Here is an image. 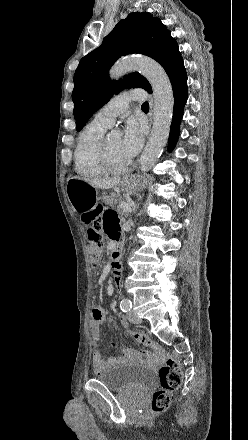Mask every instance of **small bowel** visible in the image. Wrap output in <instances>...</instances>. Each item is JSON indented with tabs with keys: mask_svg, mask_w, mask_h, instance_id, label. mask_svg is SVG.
Masks as SVG:
<instances>
[{
	"mask_svg": "<svg viewBox=\"0 0 248 440\" xmlns=\"http://www.w3.org/2000/svg\"><path fill=\"white\" fill-rule=\"evenodd\" d=\"M118 227H119V219L117 214L112 211L105 212L104 230L107 234H109L111 239L115 236H120ZM115 273H116V278H115L116 285L120 286V276H119L118 268H115ZM113 291H114L113 285L109 284L107 288L108 295L111 296L113 294ZM105 321H106V317L104 310L99 306L94 307L89 321V329L93 337V340L95 342V345H97V343L100 341V329L101 326L105 323ZM153 358L154 356H152L149 353H138L130 349L124 350L123 359L125 360L148 361ZM118 361L119 359L115 357L104 358L103 354L99 350H96L94 352L92 358L93 367L97 372L105 369L108 366L116 364Z\"/></svg>",
	"mask_w": 248,
	"mask_h": 440,
	"instance_id": "obj_1",
	"label": "small bowel"
}]
</instances>
